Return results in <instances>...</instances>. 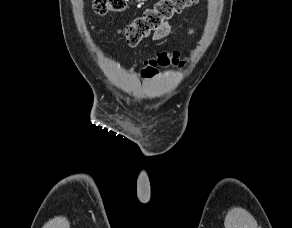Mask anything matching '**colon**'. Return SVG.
<instances>
[{"instance_id": "colon-1", "label": "colon", "mask_w": 292, "mask_h": 228, "mask_svg": "<svg viewBox=\"0 0 292 228\" xmlns=\"http://www.w3.org/2000/svg\"><path fill=\"white\" fill-rule=\"evenodd\" d=\"M198 0H160L152 8L146 10L143 15L125 26L120 32L127 44L137 45L148 37L152 32L171 19L174 15L181 13L186 8L194 5ZM127 0H93L92 9L97 14L107 12H121L126 8ZM183 66L184 61L179 54L160 52L145 62L142 75L151 77L158 66Z\"/></svg>"}]
</instances>
